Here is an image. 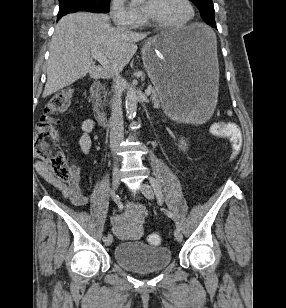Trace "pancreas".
Here are the masks:
<instances>
[{
	"label": "pancreas",
	"instance_id": "obj_1",
	"mask_svg": "<svg viewBox=\"0 0 286 308\" xmlns=\"http://www.w3.org/2000/svg\"><path fill=\"white\" fill-rule=\"evenodd\" d=\"M151 90H152L151 100L154 103V106L155 107L161 106L162 104H161L160 97H159V95L157 93V90L155 88H153V87H151Z\"/></svg>",
	"mask_w": 286,
	"mask_h": 308
}]
</instances>
